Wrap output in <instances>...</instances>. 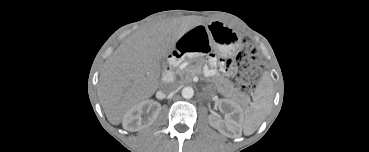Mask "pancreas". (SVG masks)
<instances>
[{
	"mask_svg": "<svg viewBox=\"0 0 369 152\" xmlns=\"http://www.w3.org/2000/svg\"><path fill=\"white\" fill-rule=\"evenodd\" d=\"M187 72H190L191 74H200L201 68L200 66H197L196 68H190L187 70ZM221 94H223L225 97L230 98L232 101H239L240 98H247L246 95L240 94L237 91H227L223 88H219L218 90Z\"/></svg>",
	"mask_w": 369,
	"mask_h": 152,
	"instance_id": "cf45deb5",
	"label": "pancreas"
}]
</instances>
